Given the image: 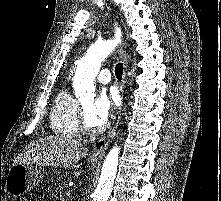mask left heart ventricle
I'll return each mask as SVG.
<instances>
[{
    "label": "left heart ventricle",
    "instance_id": "1",
    "mask_svg": "<svg viewBox=\"0 0 221 201\" xmlns=\"http://www.w3.org/2000/svg\"><path fill=\"white\" fill-rule=\"evenodd\" d=\"M92 105H93V101H87V102H84V103L82 104L83 109H84V111H85V114H86V117H87V120H88L89 124H90L91 126L97 127V126H100L101 124H100L99 122H97V121L92 117V114H91Z\"/></svg>",
    "mask_w": 221,
    "mask_h": 201
}]
</instances>
